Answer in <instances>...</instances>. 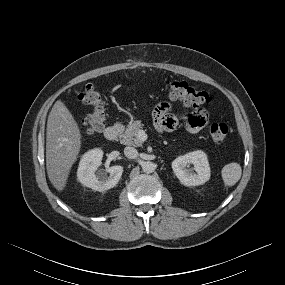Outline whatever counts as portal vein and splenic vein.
<instances>
[{
    "label": "portal vein and splenic vein",
    "instance_id": "obj_1",
    "mask_svg": "<svg viewBox=\"0 0 285 285\" xmlns=\"http://www.w3.org/2000/svg\"><path fill=\"white\" fill-rule=\"evenodd\" d=\"M138 138L141 140V141H145L147 139V135L146 133L143 131V130H140L138 132Z\"/></svg>",
    "mask_w": 285,
    "mask_h": 285
}]
</instances>
